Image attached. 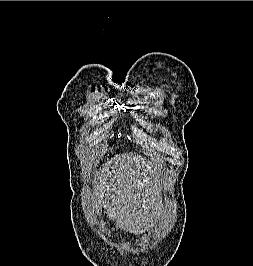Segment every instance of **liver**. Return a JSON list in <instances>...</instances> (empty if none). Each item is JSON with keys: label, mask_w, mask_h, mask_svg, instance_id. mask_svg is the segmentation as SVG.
I'll return each mask as SVG.
<instances>
[{"label": "liver", "mask_w": 253, "mask_h": 266, "mask_svg": "<svg viewBox=\"0 0 253 266\" xmlns=\"http://www.w3.org/2000/svg\"><path fill=\"white\" fill-rule=\"evenodd\" d=\"M113 164L114 170L109 171L107 165V173L97 175L93 208L98 213L97 204H103L118 228L141 234L148 226L147 205L155 193L149 181L152 164H145L132 154L116 157Z\"/></svg>", "instance_id": "liver-1"}]
</instances>
